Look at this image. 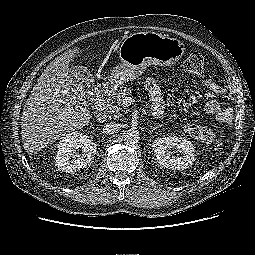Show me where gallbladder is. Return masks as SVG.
I'll return each instance as SVG.
<instances>
[{
    "instance_id": "1",
    "label": "gallbladder",
    "mask_w": 255,
    "mask_h": 255,
    "mask_svg": "<svg viewBox=\"0 0 255 255\" xmlns=\"http://www.w3.org/2000/svg\"><path fill=\"white\" fill-rule=\"evenodd\" d=\"M71 85L81 96H90L94 91V79L90 71L84 66H73L69 69Z\"/></svg>"
}]
</instances>
